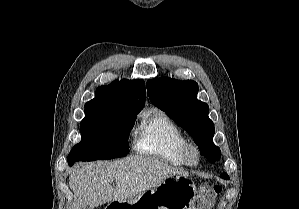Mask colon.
I'll list each match as a JSON object with an SVG mask.
<instances>
[{
	"label": "colon",
	"instance_id": "colon-1",
	"mask_svg": "<svg viewBox=\"0 0 299 209\" xmlns=\"http://www.w3.org/2000/svg\"><path fill=\"white\" fill-rule=\"evenodd\" d=\"M222 192L219 184L202 183L199 187L198 203L193 209H212L214 201Z\"/></svg>",
	"mask_w": 299,
	"mask_h": 209
}]
</instances>
